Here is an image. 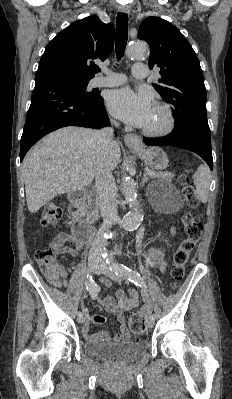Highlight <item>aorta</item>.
Instances as JSON below:
<instances>
[{"mask_svg": "<svg viewBox=\"0 0 232 399\" xmlns=\"http://www.w3.org/2000/svg\"><path fill=\"white\" fill-rule=\"evenodd\" d=\"M148 49L145 42L136 41L132 43L127 50L128 56L134 59H142ZM122 192L125 199L129 202L130 211L123 217L122 226L127 231L136 230L143 220V214L140 210L135 190L134 180L124 175L122 178Z\"/></svg>", "mask_w": 232, "mask_h": 399, "instance_id": "obj_1", "label": "aorta"}]
</instances>
